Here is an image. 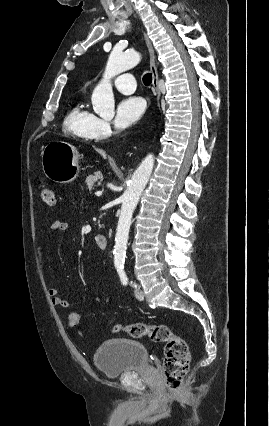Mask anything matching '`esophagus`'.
Masks as SVG:
<instances>
[{
  "label": "esophagus",
  "mask_w": 269,
  "mask_h": 426,
  "mask_svg": "<svg viewBox=\"0 0 269 426\" xmlns=\"http://www.w3.org/2000/svg\"><path fill=\"white\" fill-rule=\"evenodd\" d=\"M144 37H145V42L147 44V47L150 53V71L152 74V90L155 96L157 97V102H158L160 97V91L158 87V71H157L156 62H155L154 49L152 47L151 41L149 40L148 36L144 34Z\"/></svg>",
  "instance_id": "obj_1"
}]
</instances>
